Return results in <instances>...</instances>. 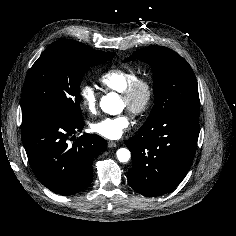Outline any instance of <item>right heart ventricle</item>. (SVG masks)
Masks as SVG:
<instances>
[{
    "label": "right heart ventricle",
    "mask_w": 236,
    "mask_h": 236,
    "mask_svg": "<svg viewBox=\"0 0 236 236\" xmlns=\"http://www.w3.org/2000/svg\"><path fill=\"white\" fill-rule=\"evenodd\" d=\"M137 77L134 68L119 66L102 73L99 82L104 89L121 93Z\"/></svg>",
    "instance_id": "1"
}]
</instances>
